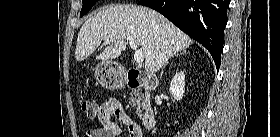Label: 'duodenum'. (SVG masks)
I'll use <instances>...</instances> for the list:
<instances>
[{"mask_svg":"<svg viewBox=\"0 0 280 137\" xmlns=\"http://www.w3.org/2000/svg\"><path fill=\"white\" fill-rule=\"evenodd\" d=\"M126 85L131 89L146 88L147 90H155L159 81L157 78L140 73L136 70L128 71L125 76ZM143 125L150 130L155 125V114L153 111H147L143 117Z\"/></svg>","mask_w":280,"mask_h":137,"instance_id":"obj_1","label":"duodenum"}]
</instances>
